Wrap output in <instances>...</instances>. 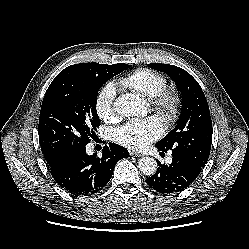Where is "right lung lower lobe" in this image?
<instances>
[{"mask_svg":"<svg viewBox=\"0 0 249 249\" xmlns=\"http://www.w3.org/2000/svg\"><path fill=\"white\" fill-rule=\"evenodd\" d=\"M87 155L86 148L68 155L60 163L50 167L56 183L75 196H90L110 181L114 167L122 158L129 157L126 148L109 143L102 157Z\"/></svg>","mask_w":249,"mask_h":249,"instance_id":"obj_1","label":"right lung lower lobe"}]
</instances>
